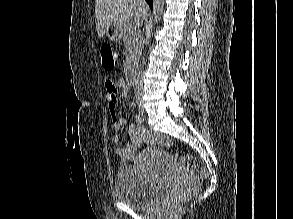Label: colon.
<instances>
[{
    "instance_id": "5ec220e1",
    "label": "colon",
    "mask_w": 293,
    "mask_h": 219,
    "mask_svg": "<svg viewBox=\"0 0 293 219\" xmlns=\"http://www.w3.org/2000/svg\"><path fill=\"white\" fill-rule=\"evenodd\" d=\"M102 65L105 70H112L120 60L119 53L111 46L105 45L101 49ZM148 142L154 146H172L173 142L168 137L156 132H152L148 135ZM181 166L189 172L197 170L198 164L196 159L190 155H183L179 159ZM199 178L205 181L208 178V173L205 169H201L199 172ZM176 203L172 202L171 209L176 208Z\"/></svg>"
}]
</instances>
